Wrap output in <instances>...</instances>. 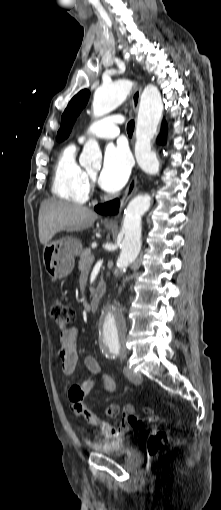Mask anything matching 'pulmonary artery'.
Segmentation results:
<instances>
[{"label": "pulmonary artery", "mask_w": 221, "mask_h": 510, "mask_svg": "<svg viewBox=\"0 0 221 510\" xmlns=\"http://www.w3.org/2000/svg\"><path fill=\"white\" fill-rule=\"evenodd\" d=\"M120 120L115 117H105L92 123L79 137V142H84L89 137L113 139L119 135Z\"/></svg>", "instance_id": "1"}]
</instances>
